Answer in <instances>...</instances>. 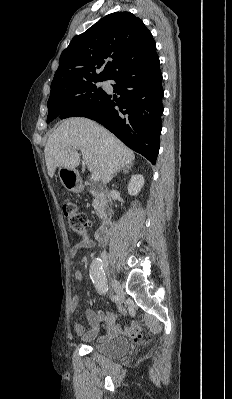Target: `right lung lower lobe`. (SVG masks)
I'll return each instance as SVG.
<instances>
[{
    "mask_svg": "<svg viewBox=\"0 0 232 399\" xmlns=\"http://www.w3.org/2000/svg\"><path fill=\"white\" fill-rule=\"evenodd\" d=\"M110 79L116 81L113 88L119 98L107 94L100 104L70 117H86L99 122L155 165L163 113L162 74L156 51L119 70ZM59 117L68 118L63 113Z\"/></svg>",
    "mask_w": 232,
    "mask_h": 399,
    "instance_id": "1",
    "label": "right lung lower lobe"
}]
</instances>
